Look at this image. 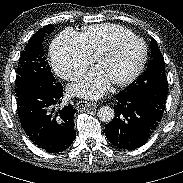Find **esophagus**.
Segmentation results:
<instances>
[{
    "mask_svg": "<svg viewBox=\"0 0 183 183\" xmlns=\"http://www.w3.org/2000/svg\"><path fill=\"white\" fill-rule=\"evenodd\" d=\"M97 107L96 104L94 103H88L86 101H79L77 104H76V109L79 111V112H83L85 110H92V109H95Z\"/></svg>",
    "mask_w": 183,
    "mask_h": 183,
    "instance_id": "esophagus-1",
    "label": "esophagus"
}]
</instances>
